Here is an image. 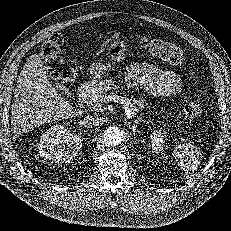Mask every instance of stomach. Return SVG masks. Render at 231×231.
Listing matches in <instances>:
<instances>
[{
    "instance_id": "stomach-1",
    "label": "stomach",
    "mask_w": 231,
    "mask_h": 231,
    "mask_svg": "<svg viewBox=\"0 0 231 231\" xmlns=\"http://www.w3.org/2000/svg\"><path fill=\"white\" fill-rule=\"evenodd\" d=\"M107 55L111 62L105 63L102 61H95L91 64L89 70L93 79H100L107 70L112 69L116 62H119L128 50V45L125 41L116 40L107 45Z\"/></svg>"
}]
</instances>
